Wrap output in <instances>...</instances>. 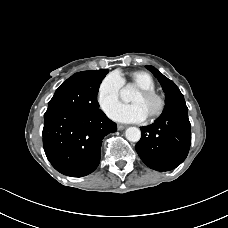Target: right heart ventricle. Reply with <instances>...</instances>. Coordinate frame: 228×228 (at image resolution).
<instances>
[{
  "instance_id": "right-heart-ventricle-1",
  "label": "right heart ventricle",
  "mask_w": 228,
  "mask_h": 228,
  "mask_svg": "<svg viewBox=\"0 0 228 228\" xmlns=\"http://www.w3.org/2000/svg\"><path fill=\"white\" fill-rule=\"evenodd\" d=\"M119 76L121 77L123 84L127 83L137 87L138 89L143 88L155 90L156 88L155 80L149 73L145 71H133L129 73L127 76H122L120 74Z\"/></svg>"
}]
</instances>
